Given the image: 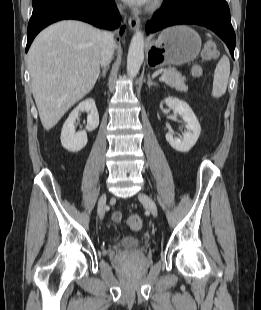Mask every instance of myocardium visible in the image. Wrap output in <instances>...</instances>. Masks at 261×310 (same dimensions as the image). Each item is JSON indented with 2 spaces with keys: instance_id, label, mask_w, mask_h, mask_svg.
Here are the masks:
<instances>
[{
  "instance_id": "f54148a6",
  "label": "myocardium",
  "mask_w": 261,
  "mask_h": 310,
  "mask_svg": "<svg viewBox=\"0 0 261 310\" xmlns=\"http://www.w3.org/2000/svg\"><path fill=\"white\" fill-rule=\"evenodd\" d=\"M163 3V0H152L150 4V10L158 9Z\"/></svg>"
}]
</instances>
